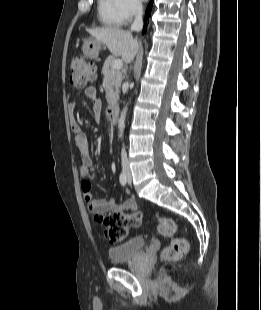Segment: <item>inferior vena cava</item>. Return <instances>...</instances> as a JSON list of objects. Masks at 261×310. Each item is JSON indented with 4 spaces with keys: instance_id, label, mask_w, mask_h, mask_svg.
Here are the masks:
<instances>
[{
    "instance_id": "obj_1",
    "label": "inferior vena cava",
    "mask_w": 261,
    "mask_h": 310,
    "mask_svg": "<svg viewBox=\"0 0 261 310\" xmlns=\"http://www.w3.org/2000/svg\"><path fill=\"white\" fill-rule=\"evenodd\" d=\"M142 15H143L142 5L141 3L137 2L135 4V19H134L133 24L131 25V31H141L143 27ZM121 159H122V165L127 166L128 159H127V154L124 148L122 149V152H121Z\"/></svg>"
}]
</instances>
